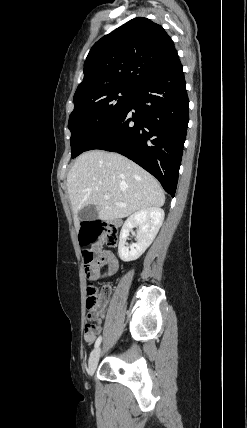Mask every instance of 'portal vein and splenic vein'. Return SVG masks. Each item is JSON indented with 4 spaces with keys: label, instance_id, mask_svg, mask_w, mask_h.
Instances as JSON below:
<instances>
[{
    "label": "portal vein and splenic vein",
    "instance_id": "obj_1",
    "mask_svg": "<svg viewBox=\"0 0 247 428\" xmlns=\"http://www.w3.org/2000/svg\"><path fill=\"white\" fill-rule=\"evenodd\" d=\"M104 199H105V200H109V199H110V196H109V195H104ZM115 204H116V205H118V206H121V207L125 206V204H123V203H119V202H115Z\"/></svg>",
    "mask_w": 247,
    "mask_h": 428
}]
</instances>
